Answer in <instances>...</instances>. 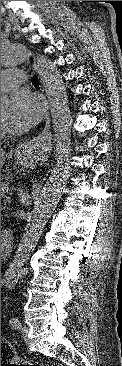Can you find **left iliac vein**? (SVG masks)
Here are the masks:
<instances>
[{"mask_svg":"<svg viewBox=\"0 0 122 366\" xmlns=\"http://www.w3.org/2000/svg\"><path fill=\"white\" fill-rule=\"evenodd\" d=\"M19 329H20L24 339L27 340V334L29 333V328L27 326H20Z\"/></svg>","mask_w":122,"mask_h":366,"instance_id":"4c4485c4","label":"left iliac vein"}]
</instances>
